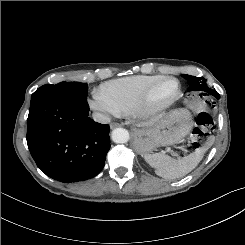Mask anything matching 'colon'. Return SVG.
Here are the masks:
<instances>
[{
    "label": "colon",
    "mask_w": 245,
    "mask_h": 245,
    "mask_svg": "<svg viewBox=\"0 0 245 245\" xmlns=\"http://www.w3.org/2000/svg\"><path fill=\"white\" fill-rule=\"evenodd\" d=\"M213 130V118L210 113H199L196 126L191 132V143L195 150L200 149Z\"/></svg>",
    "instance_id": "5ec220e1"
}]
</instances>
